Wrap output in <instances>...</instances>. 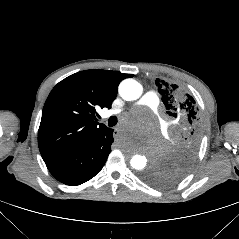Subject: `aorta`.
Instances as JSON below:
<instances>
[{"label": "aorta", "instance_id": "762f6f07", "mask_svg": "<svg viewBox=\"0 0 239 239\" xmlns=\"http://www.w3.org/2000/svg\"><path fill=\"white\" fill-rule=\"evenodd\" d=\"M119 93L124 100L133 101L141 96L142 86L135 80L125 79L119 85ZM149 161L148 156L135 154L131 158L130 164L136 170H143Z\"/></svg>", "mask_w": 239, "mask_h": 239}]
</instances>
